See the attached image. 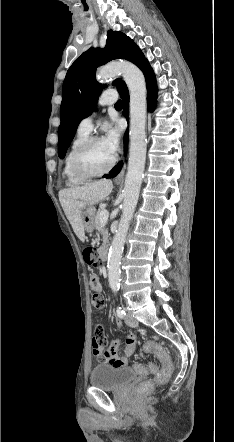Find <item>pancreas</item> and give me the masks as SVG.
Segmentation results:
<instances>
[{
	"label": "pancreas",
	"instance_id": "cf45deb5",
	"mask_svg": "<svg viewBox=\"0 0 234 442\" xmlns=\"http://www.w3.org/2000/svg\"><path fill=\"white\" fill-rule=\"evenodd\" d=\"M104 210V208H99L96 215H95V227L103 236V245H105L108 242L109 233L108 230L105 228L104 225L100 222V213Z\"/></svg>",
	"mask_w": 234,
	"mask_h": 442
}]
</instances>
